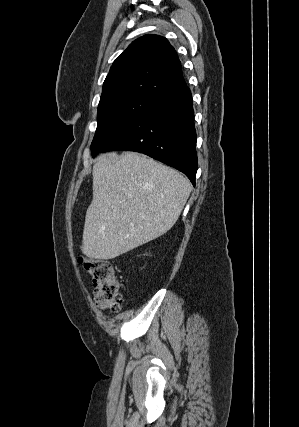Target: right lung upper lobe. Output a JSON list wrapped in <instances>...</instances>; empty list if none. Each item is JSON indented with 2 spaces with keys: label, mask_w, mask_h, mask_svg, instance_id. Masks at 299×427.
Wrapping results in <instances>:
<instances>
[{
  "label": "right lung upper lobe",
  "mask_w": 299,
  "mask_h": 427,
  "mask_svg": "<svg viewBox=\"0 0 299 427\" xmlns=\"http://www.w3.org/2000/svg\"><path fill=\"white\" fill-rule=\"evenodd\" d=\"M186 86L176 51L166 38L145 35L114 61L100 101L121 95L156 100Z\"/></svg>",
  "instance_id": "cb5924a9"
}]
</instances>
